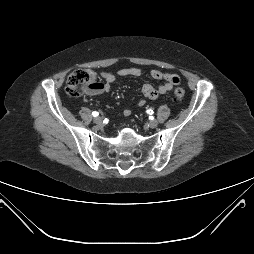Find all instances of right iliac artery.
Segmentation results:
<instances>
[{"label":"right iliac artery","instance_id":"1","mask_svg":"<svg viewBox=\"0 0 254 254\" xmlns=\"http://www.w3.org/2000/svg\"><path fill=\"white\" fill-rule=\"evenodd\" d=\"M92 115H93L94 117H96V116H98V115H99V113H98V112H96V111H94V112H92Z\"/></svg>","mask_w":254,"mask_h":254}]
</instances>
